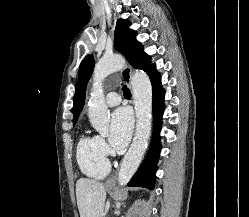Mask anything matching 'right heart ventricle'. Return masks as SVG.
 <instances>
[{
    "label": "right heart ventricle",
    "instance_id": "right-heart-ventricle-1",
    "mask_svg": "<svg viewBox=\"0 0 249 217\" xmlns=\"http://www.w3.org/2000/svg\"><path fill=\"white\" fill-rule=\"evenodd\" d=\"M76 158L80 170L90 178L102 179L109 173V162L100 151L96 136L81 135Z\"/></svg>",
    "mask_w": 249,
    "mask_h": 217
}]
</instances>
